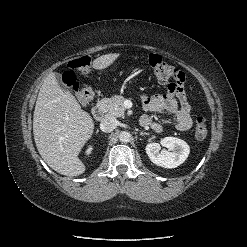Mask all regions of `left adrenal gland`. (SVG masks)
<instances>
[{"label":"left adrenal gland","instance_id":"1","mask_svg":"<svg viewBox=\"0 0 247 247\" xmlns=\"http://www.w3.org/2000/svg\"><path fill=\"white\" fill-rule=\"evenodd\" d=\"M140 135H141V136H144V135H149V134H148L147 132L141 131V132H140Z\"/></svg>","mask_w":247,"mask_h":247}]
</instances>
